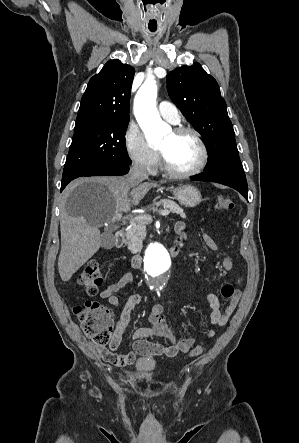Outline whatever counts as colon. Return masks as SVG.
I'll return each mask as SVG.
<instances>
[{
  "label": "colon",
  "mask_w": 299,
  "mask_h": 443,
  "mask_svg": "<svg viewBox=\"0 0 299 443\" xmlns=\"http://www.w3.org/2000/svg\"><path fill=\"white\" fill-rule=\"evenodd\" d=\"M233 208V201L227 195L217 198L216 209L219 212H229ZM102 274L96 261H88L81 273L78 283L88 295H96L102 284ZM81 321L83 333L89 338L103 357L108 355L105 346L112 339L114 319L111 312L101 303L88 300L82 306L74 309ZM203 352V345H198L190 351L192 357H197Z\"/></svg>",
  "instance_id": "colon-1"
}]
</instances>
